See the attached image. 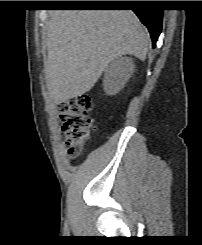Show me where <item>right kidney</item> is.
Segmentation results:
<instances>
[{
  "label": "right kidney",
  "instance_id": "1",
  "mask_svg": "<svg viewBox=\"0 0 202 245\" xmlns=\"http://www.w3.org/2000/svg\"><path fill=\"white\" fill-rule=\"evenodd\" d=\"M135 70L133 60L128 57H120L113 60L107 69L103 79L104 90L108 95L118 93L129 80Z\"/></svg>",
  "mask_w": 202,
  "mask_h": 245
}]
</instances>
